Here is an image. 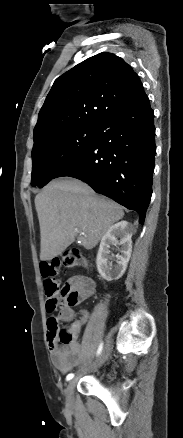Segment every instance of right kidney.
<instances>
[{"instance_id": "obj_1", "label": "right kidney", "mask_w": 183, "mask_h": 438, "mask_svg": "<svg viewBox=\"0 0 183 438\" xmlns=\"http://www.w3.org/2000/svg\"><path fill=\"white\" fill-rule=\"evenodd\" d=\"M135 228L127 221H121L111 226L101 239L97 253L96 265L99 274L107 281L118 280L124 274L132 252V234ZM118 238L120 240H118ZM120 245L121 255L110 256V246Z\"/></svg>"}]
</instances>
